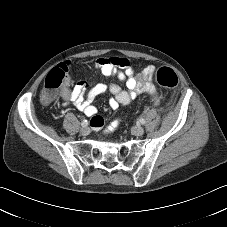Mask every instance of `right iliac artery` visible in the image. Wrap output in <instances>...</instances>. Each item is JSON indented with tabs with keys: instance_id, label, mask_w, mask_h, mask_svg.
Here are the masks:
<instances>
[{
	"instance_id": "right-iliac-artery-1",
	"label": "right iliac artery",
	"mask_w": 227,
	"mask_h": 227,
	"mask_svg": "<svg viewBox=\"0 0 227 227\" xmlns=\"http://www.w3.org/2000/svg\"><path fill=\"white\" fill-rule=\"evenodd\" d=\"M81 125H82L83 127H86V126L88 125L87 120H83V121L81 122Z\"/></svg>"
}]
</instances>
